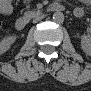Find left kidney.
<instances>
[{
	"mask_svg": "<svg viewBox=\"0 0 91 91\" xmlns=\"http://www.w3.org/2000/svg\"><path fill=\"white\" fill-rule=\"evenodd\" d=\"M81 48L86 54L91 53V41L90 38L86 35H83L81 38Z\"/></svg>",
	"mask_w": 91,
	"mask_h": 91,
	"instance_id": "obj_1",
	"label": "left kidney"
}]
</instances>
